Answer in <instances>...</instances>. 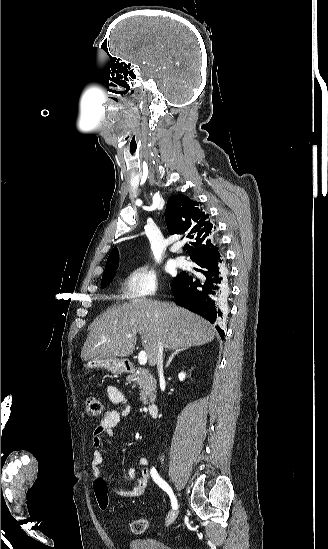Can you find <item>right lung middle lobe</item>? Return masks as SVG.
Returning a JSON list of instances; mask_svg holds the SVG:
<instances>
[{"label": "right lung middle lobe", "instance_id": "obj_1", "mask_svg": "<svg viewBox=\"0 0 328 549\" xmlns=\"http://www.w3.org/2000/svg\"><path fill=\"white\" fill-rule=\"evenodd\" d=\"M117 268L118 264L114 265L112 268L103 273L101 287L107 286L113 280L114 276L116 275ZM183 275L184 273L179 274L176 278H174V280L182 277Z\"/></svg>", "mask_w": 328, "mask_h": 549}]
</instances>
